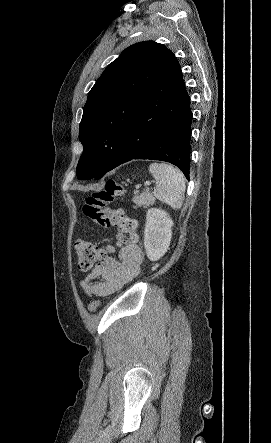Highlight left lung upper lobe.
Wrapping results in <instances>:
<instances>
[{"instance_id": "5c2ea615", "label": "left lung upper lobe", "mask_w": 271, "mask_h": 443, "mask_svg": "<svg viewBox=\"0 0 271 443\" xmlns=\"http://www.w3.org/2000/svg\"><path fill=\"white\" fill-rule=\"evenodd\" d=\"M173 57L164 45L144 41L126 48L104 70L84 106L78 179H100L109 171L134 113Z\"/></svg>"}]
</instances>
